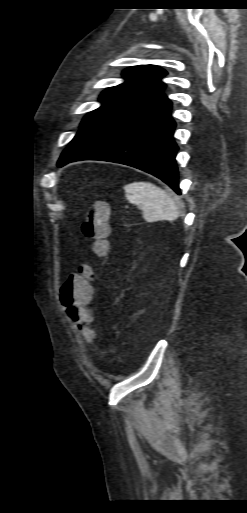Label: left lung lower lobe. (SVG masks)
Returning <instances> with one entry per match:
<instances>
[{"label": "left lung lower lobe", "mask_w": 247, "mask_h": 513, "mask_svg": "<svg viewBox=\"0 0 247 513\" xmlns=\"http://www.w3.org/2000/svg\"><path fill=\"white\" fill-rule=\"evenodd\" d=\"M164 85L83 126L62 153L58 166L78 160H103L146 171L168 184L177 194L178 147L171 102L162 95Z\"/></svg>", "instance_id": "0a47b994"}]
</instances>
